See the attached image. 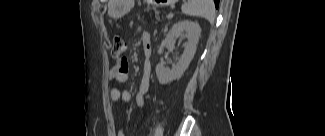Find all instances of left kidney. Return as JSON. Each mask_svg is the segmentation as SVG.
I'll use <instances>...</instances> for the list:
<instances>
[{
    "mask_svg": "<svg viewBox=\"0 0 325 136\" xmlns=\"http://www.w3.org/2000/svg\"><path fill=\"white\" fill-rule=\"evenodd\" d=\"M180 33H184L187 37V42L184 43L183 54L171 70L166 68L162 63L156 66V75L160 84H167L181 78L195 55L201 29L198 23L188 20L175 23L170 28L165 39L159 46L158 54L161 55L164 48L172 44Z\"/></svg>",
    "mask_w": 325,
    "mask_h": 136,
    "instance_id": "obj_1",
    "label": "left kidney"
}]
</instances>
